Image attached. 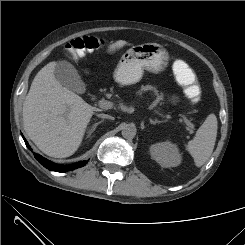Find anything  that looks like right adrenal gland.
Segmentation results:
<instances>
[{"label": "right adrenal gland", "mask_w": 245, "mask_h": 245, "mask_svg": "<svg viewBox=\"0 0 245 245\" xmlns=\"http://www.w3.org/2000/svg\"><path fill=\"white\" fill-rule=\"evenodd\" d=\"M103 121H104V120H100V121L96 122L95 124H93V126H92L91 129L89 130V133H88V135H87V138H90V137H91L92 133L95 131V129L97 128V126H98L99 124H101Z\"/></svg>", "instance_id": "right-adrenal-gland-1"}]
</instances>
